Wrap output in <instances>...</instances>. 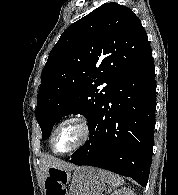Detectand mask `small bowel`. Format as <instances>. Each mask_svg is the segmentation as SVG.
I'll return each instance as SVG.
<instances>
[{
    "label": "small bowel",
    "instance_id": "1",
    "mask_svg": "<svg viewBox=\"0 0 178 195\" xmlns=\"http://www.w3.org/2000/svg\"><path fill=\"white\" fill-rule=\"evenodd\" d=\"M48 195H62L59 188H49L47 189Z\"/></svg>",
    "mask_w": 178,
    "mask_h": 195
}]
</instances>
